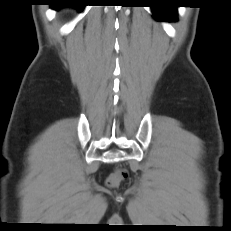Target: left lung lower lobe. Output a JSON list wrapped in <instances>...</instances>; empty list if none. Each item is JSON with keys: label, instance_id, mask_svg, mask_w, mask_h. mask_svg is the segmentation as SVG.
I'll return each instance as SVG.
<instances>
[{"label": "left lung lower lobe", "instance_id": "left-lung-lower-lobe-1", "mask_svg": "<svg viewBox=\"0 0 231 231\" xmlns=\"http://www.w3.org/2000/svg\"><path fill=\"white\" fill-rule=\"evenodd\" d=\"M172 1L168 0H153L150 7L153 10L154 16L161 21H177V7L172 5Z\"/></svg>", "mask_w": 231, "mask_h": 231}]
</instances>
